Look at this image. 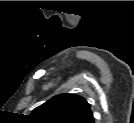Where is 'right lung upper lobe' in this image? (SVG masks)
Here are the masks:
<instances>
[{
	"label": "right lung upper lobe",
	"instance_id": "right-lung-upper-lobe-1",
	"mask_svg": "<svg viewBox=\"0 0 134 123\" xmlns=\"http://www.w3.org/2000/svg\"><path fill=\"white\" fill-rule=\"evenodd\" d=\"M34 123H94L88 102L76 94H59L28 116Z\"/></svg>",
	"mask_w": 134,
	"mask_h": 123
}]
</instances>
